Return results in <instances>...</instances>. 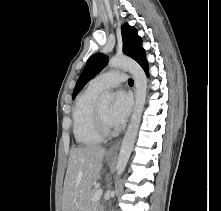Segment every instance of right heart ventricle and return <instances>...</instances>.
I'll use <instances>...</instances> for the list:
<instances>
[{"mask_svg": "<svg viewBox=\"0 0 221 211\" xmlns=\"http://www.w3.org/2000/svg\"><path fill=\"white\" fill-rule=\"evenodd\" d=\"M100 91L89 84L76 99L72 113L73 134L80 145H95L102 139L96 130L94 121L95 98Z\"/></svg>", "mask_w": 221, "mask_h": 211, "instance_id": "e07e8e85", "label": "right heart ventricle"}]
</instances>
